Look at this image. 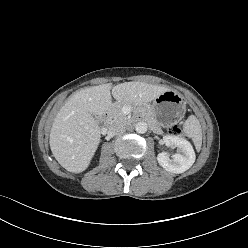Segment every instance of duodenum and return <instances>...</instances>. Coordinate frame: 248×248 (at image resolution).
I'll list each match as a JSON object with an SVG mask.
<instances>
[{
	"label": "duodenum",
	"mask_w": 248,
	"mask_h": 248,
	"mask_svg": "<svg viewBox=\"0 0 248 248\" xmlns=\"http://www.w3.org/2000/svg\"><path fill=\"white\" fill-rule=\"evenodd\" d=\"M108 119H109V114L108 113H105L101 119L99 120V125L102 129V131L104 132L105 131V125L106 123L108 122Z\"/></svg>",
	"instance_id": "1"
}]
</instances>
